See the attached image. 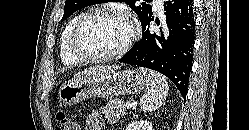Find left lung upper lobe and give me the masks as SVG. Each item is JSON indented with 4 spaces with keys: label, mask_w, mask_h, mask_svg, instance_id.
<instances>
[{
    "label": "left lung upper lobe",
    "mask_w": 249,
    "mask_h": 130,
    "mask_svg": "<svg viewBox=\"0 0 249 130\" xmlns=\"http://www.w3.org/2000/svg\"><path fill=\"white\" fill-rule=\"evenodd\" d=\"M119 2H125L131 9H133L138 15L140 22L142 23L152 13V7L149 4L151 0H144L140 5L137 4V0H117ZM109 2L107 0H66L64 7V15L61 21L66 20L75 11L84 8L89 5Z\"/></svg>",
    "instance_id": "obj_1"
}]
</instances>
